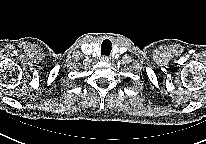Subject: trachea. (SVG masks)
I'll use <instances>...</instances> for the list:
<instances>
[{
  "label": "trachea",
  "instance_id": "trachea-1",
  "mask_svg": "<svg viewBox=\"0 0 206 144\" xmlns=\"http://www.w3.org/2000/svg\"><path fill=\"white\" fill-rule=\"evenodd\" d=\"M111 52V42L110 40H104L101 45V54L109 56Z\"/></svg>",
  "mask_w": 206,
  "mask_h": 144
}]
</instances>
